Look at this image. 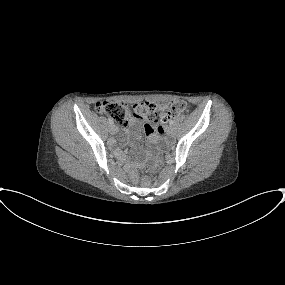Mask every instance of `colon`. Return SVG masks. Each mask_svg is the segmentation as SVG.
<instances>
[{
	"instance_id": "1",
	"label": "colon",
	"mask_w": 285,
	"mask_h": 285,
	"mask_svg": "<svg viewBox=\"0 0 285 285\" xmlns=\"http://www.w3.org/2000/svg\"><path fill=\"white\" fill-rule=\"evenodd\" d=\"M95 109L107 115L112 121L121 126H127L130 119V109L126 104L108 101H99ZM187 109V103L183 100L166 101L160 105L153 102H141L133 106V115L151 121H168ZM143 181H148L144 178Z\"/></svg>"
}]
</instances>
